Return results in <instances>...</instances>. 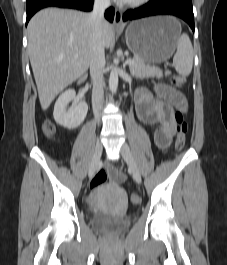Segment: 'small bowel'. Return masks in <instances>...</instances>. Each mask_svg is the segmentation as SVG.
Listing matches in <instances>:
<instances>
[{
    "label": "small bowel",
    "instance_id": "c3829d8e",
    "mask_svg": "<svg viewBox=\"0 0 227 265\" xmlns=\"http://www.w3.org/2000/svg\"><path fill=\"white\" fill-rule=\"evenodd\" d=\"M157 97L153 98L148 91L141 89L136 95V112L146 125L154 126V140L161 150L166 149L175 131L174 109H186L185 98L166 84L156 87ZM112 182L119 183L124 175L114 168H108Z\"/></svg>",
    "mask_w": 227,
    "mask_h": 265
}]
</instances>
